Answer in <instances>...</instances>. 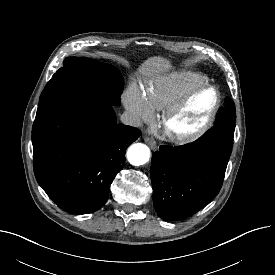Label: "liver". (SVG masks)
I'll return each instance as SVG.
<instances>
[{"label": "liver", "instance_id": "6515ba94", "mask_svg": "<svg viewBox=\"0 0 275 275\" xmlns=\"http://www.w3.org/2000/svg\"><path fill=\"white\" fill-rule=\"evenodd\" d=\"M172 68L171 63L169 60L162 58V57H151L147 59L142 66L140 67L139 71L143 75H152L157 73H162L164 71H168Z\"/></svg>", "mask_w": 275, "mask_h": 275}]
</instances>
